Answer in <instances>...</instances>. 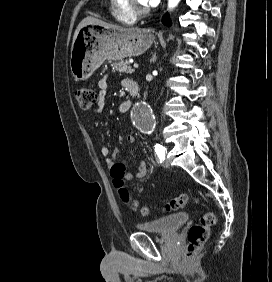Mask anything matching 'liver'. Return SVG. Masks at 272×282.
<instances>
[{
  "label": "liver",
  "mask_w": 272,
  "mask_h": 282,
  "mask_svg": "<svg viewBox=\"0 0 272 282\" xmlns=\"http://www.w3.org/2000/svg\"><path fill=\"white\" fill-rule=\"evenodd\" d=\"M101 25L103 27H106V28H110V29H117V30H124L125 28L121 27V26H118V25H113V24H110V23H106L104 21H101L99 19H96L94 17H86L84 18L78 25L75 33H74V36H73V42H72V46H73V43L78 35V32L79 30L86 26V25Z\"/></svg>",
  "instance_id": "1"
}]
</instances>
